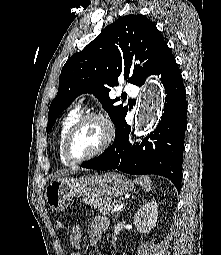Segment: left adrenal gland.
<instances>
[{"label": "left adrenal gland", "instance_id": "obj_1", "mask_svg": "<svg viewBox=\"0 0 221 255\" xmlns=\"http://www.w3.org/2000/svg\"><path fill=\"white\" fill-rule=\"evenodd\" d=\"M120 212V211H119ZM119 212H117L116 213V215H115V221L117 220V218H118V214H119Z\"/></svg>", "mask_w": 221, "mask_h": 255}]
</instances>
